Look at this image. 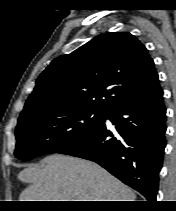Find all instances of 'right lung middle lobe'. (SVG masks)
Wrapping results in <instances>:
<instances>
[{"label":"right lung middle lobe","mask_w":176,"mask_h":211,"mask_svg":"<svg viewBox=\"0 0 176 211\" xmlns=\"http://www.w3.org/2000/svg\"><path fill=\"white\" fill-rule=\"evenodd\" d=\"M107 112L87 107L51 109L19 118L15 130V156L31 160L61 151L100 125Z\"/></svg>","instance_id":"right-lung-middle-lobe-1"}]
</instances>
